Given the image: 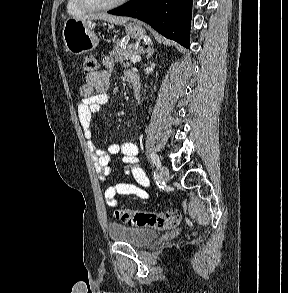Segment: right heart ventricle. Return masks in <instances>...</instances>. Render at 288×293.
Returning <instances> with one entry per match:
<instances>
[{"mask_svg":"<svg viewBox=\"0 0 288 293\" xmlns=\"http://www.w3.org/2000/svg\"><path fill=\"white\" fill-rule=\"evenodd\" d=\"M67 12L73 16H81L87 13V10L81 8L76 0H67Z\"/></svg>","mask_w":288,"mask_h":293,"instance_id":"right-heart-ventricle-1","label":"right heart ventricle"}]
</instances>
